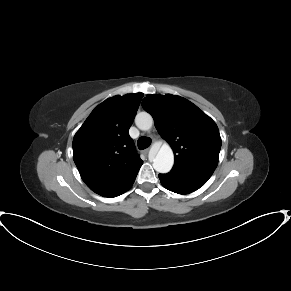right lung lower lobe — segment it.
I'll return each mask as SVG.
<instances>
[{"instance_id": "98d812e1", "label": "right lung lower lobe", "mask_w": 291, "mask_h": 291, "mask_svg": "<svg viewBox=\"0 0 291 291\" xmlns=\"http://www.w3.org/2000/svg\"><path fill=\"white\" fill-rule=\"evenodd\" d=\"M134 181H135V180H134ZM134 181H133V183H134ZM133 183H131V184H130L126 189H124L123 191H121L120 193H118L117 195H115V196H113V197H116V196L121 195L122 193L126 192L128 189L131 188V186H132Z\"/></svg>"}]
</instances>
